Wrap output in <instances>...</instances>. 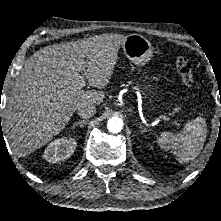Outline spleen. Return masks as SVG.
Listing matches in <instances>:
<instances>
[{
	"instance_id": "obj_1",
	"label": "spleen",
	"mask_w": 221,
	"mask_h": 221,
	"mask_svg": "<svg viewBox=\"0 0 221 221\" xmlns=\"http://www.w3.org/2000/svg\"><path fill=\"white\" fill-rule=\"evenodd\" d=\"M207 134L206 121L202 117L188 122L178 134L163 132L157 139L158 146L170 151L180 163L194 160L201 152Z\"/></svg>"
}]
</instances>
